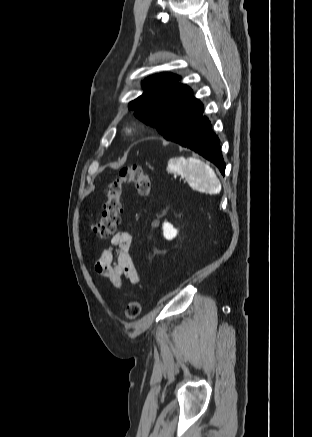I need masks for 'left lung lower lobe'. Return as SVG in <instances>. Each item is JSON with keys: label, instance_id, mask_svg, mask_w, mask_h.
Returning <instances> with one entry per match:
<instances>
[{"label": "left lung lower lobe", "instance_id": "left-lung-lower-lobe-1", "mask_svg": "<svg viewBox=\"0 0 312 437\" xmlns=\"http://www.w3.org/2000/svg\"><path fill=\"white\" fill-rule=\"evenodd\" d=\"M211 124L203 115L197 116L186 130L173 142L193 150L214 163L224 175L225 163L221 155L218 137L212 132Z\"/></svg>", "mask_w": 312, "mask_h": 437}]
</instances>
